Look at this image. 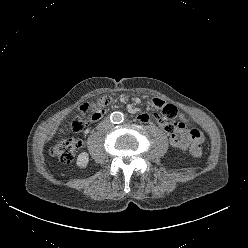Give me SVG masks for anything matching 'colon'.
I'll return each instance as SVG.
<instances>
[{
  "label": "colon",
  "mask_w": 248,
  "mask_h": 248,
  "mask_svg": "<svg viewBox=\"0 0 248 248\" xmlns=\"http://www.w3.org/2000/svg\"><path fill=\"white\" fill-rule=\"evenodd\" d=\"M109 102L110 98L108 96H103L98 100V105L106 106ZM98 110L99 109L91 107L88 103L82 104L79 107V114L72 120V129L75 132H83L88 127L90 121L95 119ZM191 137L192 144L189 151L193 156H200L203 152L204 135L200 130L193 129L191 130ZM79 146V140L68 138L54 145L51 148V152L60 162L67 164L74 159Z\"/></svg>",
  "instance_id": "colon-1"
}]
</instances>
